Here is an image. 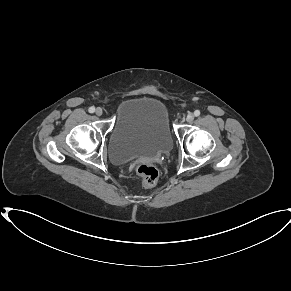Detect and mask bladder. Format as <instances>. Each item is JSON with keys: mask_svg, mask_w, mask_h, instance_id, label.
I'll return each instance as SVG.
<instances>
[{"mask_svg": "<svg viewBox=\"0 0 291 291\" xmlns=\"http://www.w3.org/2000/svg\"><path fill=\"white\" fill-rule=\"evenodd\" d=\"M173 145L169 110L155 96L127 98L115 117L108 138V154L114 164L168 152Z\"/></svg>", "mask_w": 291, "mask_h": 291, "instance_id": "31cf9c89", "label": "bladder"}]
</instances>
